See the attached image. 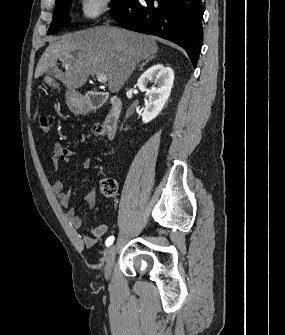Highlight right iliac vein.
I'll list each match as a JSON object with an SVG mask.
<instances>
[{"label":"right iliac vein","mask_w":285,"mask_h":335,"mask_svg":"<svg viewBox=\"0 0 285 335\" xmlns=\"http://www.w3.org/2000/svg\"><path fill=\"white\" fill-rule=\"evenodd\" d=\"M116 255V246L111 245L105 252V268H104V276L106 280L110 279L112 266H113V260Z\"/></svg>","instance_id":"63e3f726"}]
</instances>
